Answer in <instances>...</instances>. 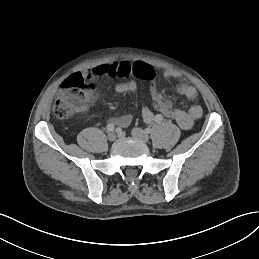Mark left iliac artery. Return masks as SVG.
I'll return each instance as SVG.
<instances>
[{
  "label": "left iliac artery",
  "mask_w": 259,
  "mask_h": 259,
  "mask_svg": "<svg viewBox=\"0 0 259 259\" xmlns=\"http://www.w3.org/2000/svg\"><path fill=\"white\" fill-rule=\"evenodd\" d=\"M162 120H163V116H162L161 114H157V115L154 117V121H155L156 123H160V122H162Z\"/></svg>",
  "instance_id": "left-iliac-artery-1"
}]
</instances>
